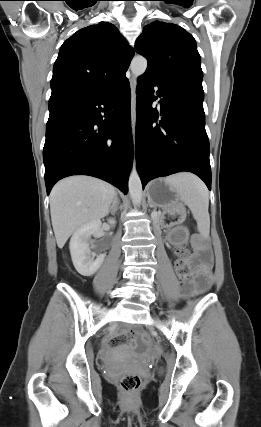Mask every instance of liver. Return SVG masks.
<instances>
[{
  "instance_id": "6515ba94",
  "label": "liver",
  "mask_w": 261,
  "mask_h": 427,
  "mask_svg": "<svg viewBox=\"0 0 261 427\" xmlns=\"http://www.w3.org/2000/svg\"><path fill=\"white\" fill-rule=\"evenodd\" d=\"M116 195L111 184L90 176H71L50 194L52 226L59 248L79 227L105 217Z\"/></svg>"
}]
</instances>
